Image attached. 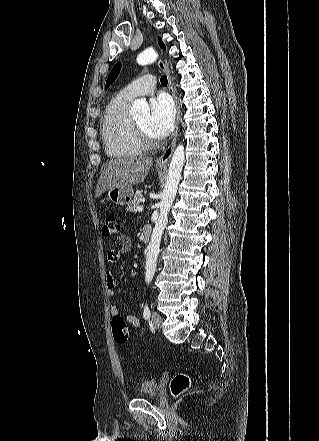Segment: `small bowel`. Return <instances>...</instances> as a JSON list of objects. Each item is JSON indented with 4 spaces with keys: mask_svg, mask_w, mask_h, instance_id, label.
<instances>
[{
    "mask_svg": "<svg viewBox=\"0 0 319 441\" xmlns=\"http://www.w3.org/2000/svg\"><path fill=\"white\" fill-rule=\"evenodd\" d=\"M131 247V239L128 236H121L114 242V247L107 254L108 263L113 266L116 264L120 255L127 252ZM118 282L110 270L107 271L106 275V285H107V296L113 298L115 296V288ZM120 312L119 307L116 304H112L110 307V313L112 316H117ZM126 320L134 327H140V320L132 314L126 315Z\"/></svg>",
    "mask_w": 319,
    "mask_h": 441,
    "instance_id": "obj_1",
    "label": "small bowel"
}]
</instances>
